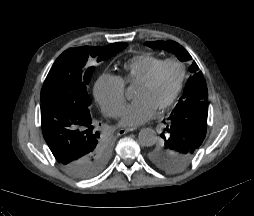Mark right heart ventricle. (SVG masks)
<instances>
[{
    "instance_id": "obj_1",
    "label": "right heart ventricle",
    "mask_w": 254,
    "mask_h": 216,
    "mask_svg": "<svg viewBox=\"0 0 254 216\" xmlns=\"http://www.w3.org/2000/svg\"><path fill=\"white\" fill-rule=\"evenodd\" d=\"M164 59L149 53L134 56L124 64L125 74L120 76L124 84L137 85L143 81Z\"/></svg>"
}]
</instances>
